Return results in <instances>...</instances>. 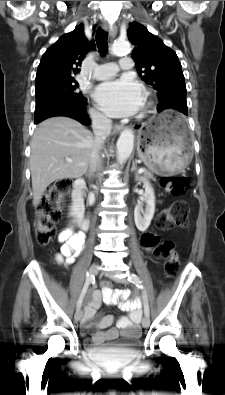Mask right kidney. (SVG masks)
<instances>
[{
    "label": "right kidney",
    "mask_w": 225,
    "mask_h": 395,
    "mask_svg": "<svg viewBox=\"0 0 225 395\" xmlns=\"http://www.w3.org/2000/svg\"><path fill=\"white\" fill-rule=\"evenodd\" d=\"M84 201L82 198L78 197L75 200H73V203L71 205V211H70V216L74 218V223L79 224L80 221L84 217Z\"/></svg>",
    "instance_id": "obj_1"
}]
</instances>
